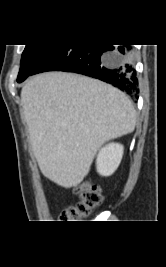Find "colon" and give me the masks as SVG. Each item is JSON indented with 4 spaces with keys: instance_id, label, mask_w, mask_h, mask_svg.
I'll return each mask as SVG.
<instances>
[{
    "instance_id": "obj_1",
    "label": "colon",
    "mask_w": 166,
    "mask_h": 267,
    "mask_svg": "<svg viewBox=\"0 0 166 267\" xmlns=\"http://www.w3.org/2000/svg\"><path fill=\"white\" fill-rule=\"evenodd\" d=\"M79 201L63 210L61 222L75 223L91 215L103 202L101 190L97 185L84 182L78 187Z\"/></svg>"
}]
</instances>
